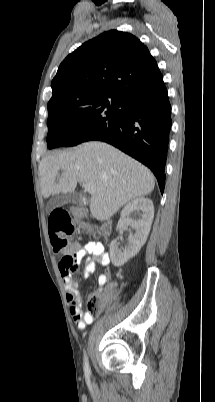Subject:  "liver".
<instances>
[{"mask_svg":"<svg viewBox=\"0 0 215 402\" xmlns=\"http://www.w3.org/2000/svg\"><path fill=\"white\" fill-rule=\"evenodd\" d=\"M59 171L62 175L56 183ZM39 177L44 198L72 193L78 182L93 184L96 191L90 211L98 221L110 219L127 202L150 194L155 186L148 168L103 142L83 143L43 158Z\"/></svg>","mask_w":215,"mask_h":402,"instance_id":"1","label":"liver"}]
</instances>
